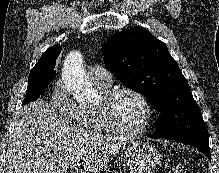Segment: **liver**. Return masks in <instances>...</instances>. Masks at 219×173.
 Listing matches in <instances>:
<instances>
[{
  "label": "liver",
  "instance_id": "obj_1",
  "mask_svg": "<svg viewBox=\"0 0 219 173\" xmlns=\"http://www.w3.org/2000/svg\"><path fill=\"white\" fill-rule=\"evenodd\" d=\"M123 139L62 120L44 100L23 106L6 153V173H68L83 161L82 173H100L118 153Z\"/></svg>",
  "mask_w": 219,
  "mask_h": 173
}]
</instances>
